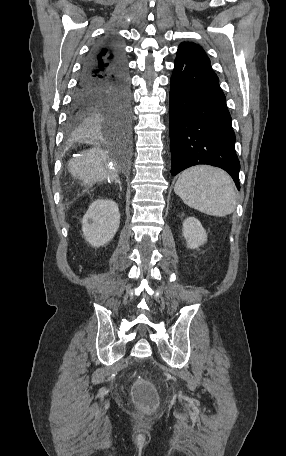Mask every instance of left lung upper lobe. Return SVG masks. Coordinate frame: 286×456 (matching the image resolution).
Returning <instances> with one entry per match:
<instances>
[{"mask_svg":"<svg viewBox=\"0 0 286 456\" xmlns=\"http://www.w3.org/2000/svg\"><path fill=\"white\" fill-rule=\"evenodd\" d=\"M175 60L198 64L212 70L210 60L204 50L199 45L192 42L181 43L179 45L177 58Z\"/></svg>","mask_w":286,"mask_h":456,"instance_id":"obj_1","label":"left lung upper lobe"}]
</instances>
